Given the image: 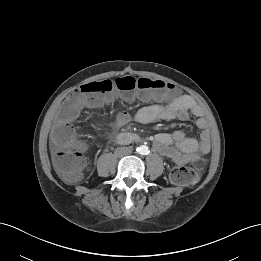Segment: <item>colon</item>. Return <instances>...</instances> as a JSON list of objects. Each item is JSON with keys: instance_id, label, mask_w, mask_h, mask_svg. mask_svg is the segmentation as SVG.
<instances>
[{"instance_id": "5ec220e1", "label": "colon", "mask_w": 261, "mask_h": 261, "mask_svg": "<svg viewBox=\"0 0 261 261\" xmlns=\"http://www.w3.org/2000/svg\"><path fill=\"white\" fill-rule=\"evenodd\" d=\"M115 90L122 92L126 100L138 99L142 102L168 100L175 97L177 92L174 85L162 80L131 76L114 80L102 79L80 85L60 108L61 120L52 131L53 139L60 148L54 157V164L67 181H77L85 167L84 140L68 121L77 115L82 104L99 106L102 103L99 96L111 94ZM204 164L203 158L197 161L195 169L178 163L171 169L170 179L177 185H190L196 181Z\"/></svg>"}]
</instances>
